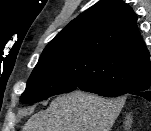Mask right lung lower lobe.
<instances>
[{
  "mask_svg": "<svg viewBox=\"0 0 151 131\" xmlns=\"http://www.w3.org/2000/svg\"><path fill=\"white\" fill-rule=\"evenodd\" d=\"M150 85L151 83L146 85H141L127 91H120L113 88L104 87L102 85H94L92 84L91 81L89 82L87 79L83 80L82 77L77 80V88L83 91L96 93L104 97H118L124 94H133L143 97L148 101H151Z\"/></svg>",
  "mask_w": 151,
  "mask_h": 131,
  "instance_id": "1",
  "label": "right lung lower lobe"
}]
</instances>
